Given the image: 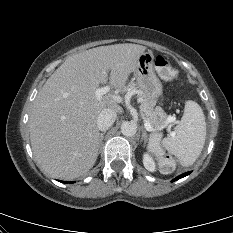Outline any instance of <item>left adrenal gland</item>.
Returning a JSON list of instances; mask_svg holds the SVG:
<instances>
[{
	"label": "left adrenal gland",
	"mask_w": 233,
	"mask_h": 233,
	"mask_svg": "<svg viewBox=\"0 0 233 233\" xmlns=\"http://www.w3.org/2000/svg\"><path fill=\"white\" fill-rule=\"evenodd\" d=\"M148 135H147V132L146 130L143 128L142 129V140H144V144L146 145L147 141H148Z\"/></svg>",
	"instance_id": "left-adrenal-gland-1"
}]
</instances>
